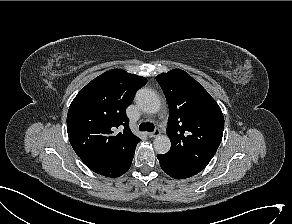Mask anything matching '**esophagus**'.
<instances>
[{"instance_id": "esophagus-1", "label": "esophagus", "mask_w": 292, "mask_h": 224, "mask_svg": "<svg viewBox=\"0 0 292 224\" xmlns=\"http://www.w3.org/2000/svg\"><path fill=\"white\" fill-rule=\"evenodd\" d=\"M158 135H160V131H159L158 129H156V130L153 131V132L148 133V136H149L150 138L156 137V136H158Z\"/></svg>"}]
</instances>
